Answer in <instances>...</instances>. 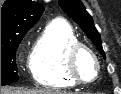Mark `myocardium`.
I'll use <instances>...</instances> for the list:
<instances>
[{"label":"myocardium","mask_w":121,"mask_h":94,"mask_svg":"<svg viewBox=\"0 0 121 94\" xmlns=\"http://www.w3.org/2000/svg\"><path fill=\"white\" fill-rule=\"evenodd\" d=\"M82 52H87L95 61L96 64V74L94 78L91 79H85L83 78L77 68V59L79 55ZM101 62L96 55V53L87 45L81 42H77L74 45H72L66 55V70L68 72V75L71 77L73 82L77 84H87L92 83L97 80L101 73Z\"/></svg>","instance_id":"f54148a6"}]
</instances>
